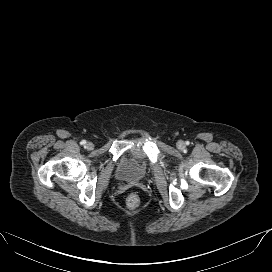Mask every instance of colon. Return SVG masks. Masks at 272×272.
I'll return each mask as SVG.
<instances>
[{
    "label": "colon",
    "instance_id": "1",
    "mask_svg": "<svg viewBox=\"0 0 272 272\" xmlns=\"http://www.w3.org/2000/svg\"><path fill=\"white\" fill-rule=\"evenodd\" d=\"M141 200L136 193H131L126 198V205L129 209H136L140 206Z\"/></svg>",
    "mask_w": 272,
    "mask_h": 272
}]
</instances>
